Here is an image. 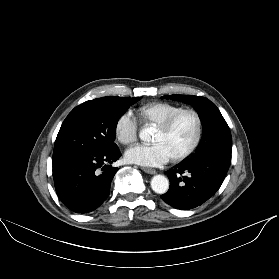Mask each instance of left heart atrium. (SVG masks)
Returning <instances> with one entry per match:
<instances>
[{"label":"left heart atrium","mask_w":279,"mask_h":279,"mask_svg":"<svg viewBox=\"0 0 279 279\" xmlns=\"http://www.w3.org/2000/svg\"><path fill=\"white\" fill-rule=\"evenodd\" d=\"M171 155L162 143L138 145L126 152V159L142 166H157L168 162Z\"/></svg>","instance_id":"obj_1"}]
</instances>
